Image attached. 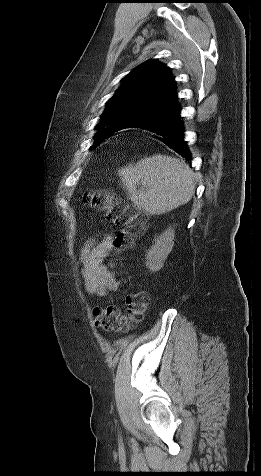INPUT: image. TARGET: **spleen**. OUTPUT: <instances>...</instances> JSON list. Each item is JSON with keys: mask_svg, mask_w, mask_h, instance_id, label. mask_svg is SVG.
I'll use <instances>...</instances> for the list:
<instances>
[{"mask_svg": "<svg viewBox=\"0 0 261 476\" xmlns=\"http://www.w3.org/2000/svg\"><path fill=\"white\" fill-rule=\"evenodd\" d=\"M128 198L150 215H161L188 203L195 190L194 173L182 160L162 154L118 170Z\"/></svg>", "mask_w": 261, "mask_h": 476, "instance_id": "3e777b00", "label": "spleen"}]
</instances>
